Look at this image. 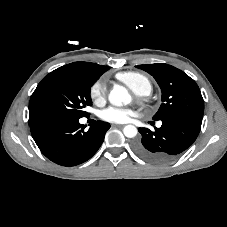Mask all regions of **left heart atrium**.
<instances>
[{"label":"left heart atrium","instance_id":"1","mask_svg":"<svg viewBox=\"0 0 227 227\" xmlns=\"http://www.w3.org/2000/svg\"><path fill=\"white\" fill-rule=\"evenodd\" d=\"M135 111L130 108L108 107L102 111L103 120L111 123H126L134 116Z\"/></svg>","mask_w":227,"mask_h":227}]
</instances>
